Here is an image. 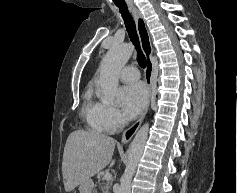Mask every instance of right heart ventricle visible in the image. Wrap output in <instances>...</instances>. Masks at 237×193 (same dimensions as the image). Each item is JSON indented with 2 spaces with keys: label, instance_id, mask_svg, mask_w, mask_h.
<instances>
[{
  "label": "right heart ventricle",
  "instance_id": "right-heart-ventricle-1",
  "mask_svg": "<svg viewBox=\"0 0 237 193\" xmlns=\"http://www.w3.org/2000/svg\"><path fill=\"white\" fill-rule=\"evenodd\" d=\"M82 101V115L89 128L97 133L107 132L102 117L103 104L96 99L92 84L85 89Z\"/></svg>",
  "mask_w": 237,
  "mask_h": 193
}]
</instances>
